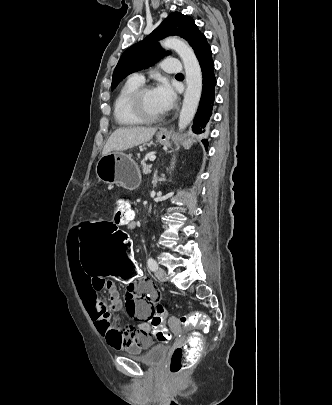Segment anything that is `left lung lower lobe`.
I'll return each instance as SVG.
<instances>
[{"mask_svg": "<svg viewBox=\"0 0 332 405\" xmlns=\"http://www.w3.org/2000/svg\"><path fill=\"white\" fill-rule=\"evenodd\" d=\"M197 59L202 70L203 88L192 130L195 134L200 135L207 132L215 100L216 78L214 76V62L212 60L211 47L209 45L204 46L197 55ZM202 143L207 148V139H203Z\"/></svg>", "mask_w": 332, "mask_h": 405, "instance_id": "left-lung-lower-lobe-1", "label": "left lung lower lobe"}]
</instances>
